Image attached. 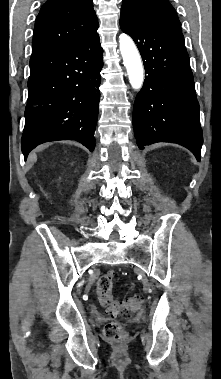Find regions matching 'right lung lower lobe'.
I'll use <instances>...</instances> for the list:
<instances>
[{
	"label": "right lung lower lobe",
	"mask_w": 221,
	"mask_h": 379,
	"mask_svg": "<svg viewBox=\"0 0 221 379\" xmlns=\"http://www.w3.org/2000/svg\"><path fill=\"white\" fill-rule=\"evenodd\" d=\"M95 28L81 41L30 60L24 157L37 145L73 139L91 152L100 100L103 49Z\"/></svg>",
	"instance_id": "obj_1"
}]
</instances>
